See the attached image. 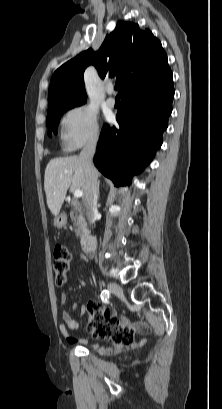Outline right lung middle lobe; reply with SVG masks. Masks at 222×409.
Here are the masks:
<instances>
[{"instance_id": "1", "label": "right lung middle lobe", "mask_w": 222, "mask_h": 409, "mask_svg": "<svg viewBox=\"0 0 222 409\" xmlns=\"http://www.w3.org/2000/svg\"><path fill=\"white\" fill-rule=\"evenodd\" d=\"M79 105L81 104L68 105V106H64V107H60V108H56V109L48 111L47 118H46L47 127L50 130H53V132L56 134L57 125L59 123L61 116L64 114V112L67 111L68 109H71ZM49 136H51L50 132H49Z\"/></svg>"}]
</instances>
